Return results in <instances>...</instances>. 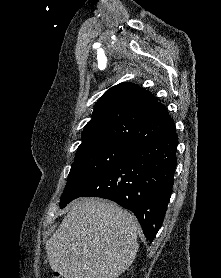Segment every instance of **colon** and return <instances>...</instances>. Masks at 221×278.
<instances>
[{
    "instance_id": "colon-1",
    "label": "colon",
    "mask_w": 221,
    "mask_h": 278,
    "mask_svg": "<svg viewBox=\"0 0 221 278\" xmlns=\"http://www.w3.org/2000/svg\"><path fill=\"white\" fill-rule=\"evenodd\" d=\"M53 278H64V277L60 274H55Z\"/></svg>"
}]
</instances>
